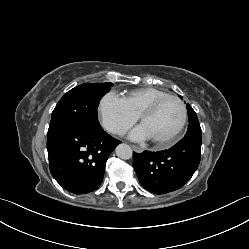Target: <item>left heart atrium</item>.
I'll use <instances>...</instances> for the list:
<instances>
[{
  "instance_id": "obj_1",
  "label": "left heart atrium",
  "mask_w": 249,
  "mask_h": 249,
  "mask_svg": "<svg viewBox=\"0 0 249 249\" xmlns=\"http://www.w3.org/2000/svg\"><path fill=\"white\" fill-rule=\"evenodd\" d=\"M129 137L135 141H144V140L150 139L149 135L147 134V132L145 131L142 125H139L135 129H133L130 132Z\"/></svg>"
}]
</instances>
